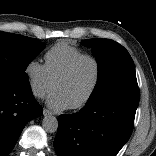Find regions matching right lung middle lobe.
<instances>
[{
  "instance_id": "dd1d6c3e",
  "label": "right lung middle lobe",
  "mask_w": 156,
  "mask_h": 156,
  "mask_svg": "<svg viewBox=\"0 0 156 156\" xmlns=\"http://www.w3.org/2000/svg\"><path fill=\"white\" fill-rule=\"evenodd\" d=\"M43 49L44 43L40 40L0 32V80L28 85L25 70Z\"/></svg>"
}]
</instances>
